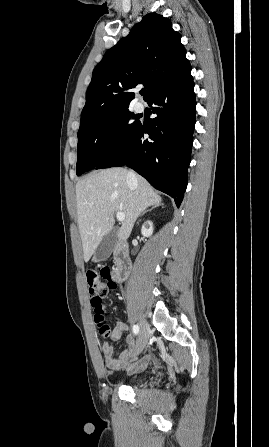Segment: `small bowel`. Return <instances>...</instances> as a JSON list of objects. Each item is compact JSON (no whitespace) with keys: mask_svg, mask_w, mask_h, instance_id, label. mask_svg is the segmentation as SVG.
Returning a JSON list of instances; mask_svg holds the SVG:
<instances>
[{"mask_svg":"<svg viewBox=\"0 0 269 447\" xmlns=\"http://www.w3.org/2000/svg\"><path fill=\"white\" fill-rule=\"evenodd\" d=\"M128 326L126 322H124L120 317H116V325L111 332V338L113 340H119L122 338L124 333L127 331ZM125 343L128 345V350L120 353L118 357L113 355V347L110 343L106 342L102 346V352L104 356V362L107 368L109 369H118L123 365L127 366V370L136 371L146 367L150 362V356L145 355L137 362L131 363V357L135 353V340L131 334H128L124 337Z\"/></svg>","mask_w":269,"mask_h":447,"instance_id":"small-bowel-1","label":"small bowel"}]
</instances>
